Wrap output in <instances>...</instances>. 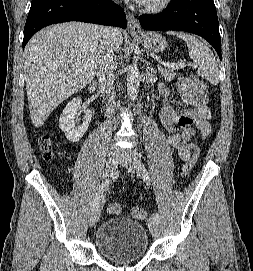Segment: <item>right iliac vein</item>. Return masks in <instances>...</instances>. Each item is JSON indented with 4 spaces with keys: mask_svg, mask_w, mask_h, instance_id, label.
<instances>
[{
    "mask_svg": "<svg viewBox=\"0 0 253 271\" xmlns=\"http://www.w3.org/2000/svg\"><path fill=\"white\" fill-rule=\"evenodd\" d=\"M119 160H120L119 151L112 150L108 153V161H107L104 176H103L106 182H109L112 179ZM102 208H103V203L100 202L92 209L91 214H90V219H89V225L91 227L94 226L98 222Z\"/></svg>",
    "mask_w": 253,
    "mask_h": 271,
    "instance_id": "obj_1",
    "label": "right iliac vein"
}]
</instances>
